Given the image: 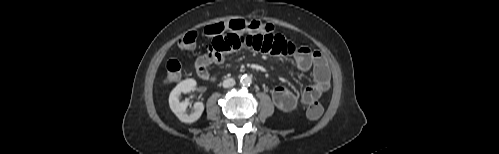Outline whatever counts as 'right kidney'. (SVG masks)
<instances>
[{"mask_svg": "<svg viewBox=\"0 0 499 154\" xmlns=\"http://www.w3.org/2000/svg\"><path fill=\"white\" fill-rule=\"evenodd\" d=\"M195 86H196V81L194 79L183 80L172 90L169 96V106L171 110L178 117L180 121L185 123H193L197 121L201 117L204 111V104L202 102H196L194 104L193 112L190 115H188L186 113V108L189 105V102L179 101V94L181 92L189 93L195 89Z\"/></svg>", "mask_w": 499, "mask_h": 154, "instance_id": "ca27d5eb", "label": "right kidney"}]
</instances>
